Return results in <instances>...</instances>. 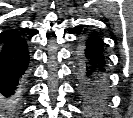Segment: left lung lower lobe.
<instances>
[{"label":"left lung lower lobe","instance_id":"1","mask_svg":"<svg viewBox=\"0 0 133 118\" xmlns=\"http://www.w3.org/2000/svg\"><path fill=\"white\" fill-rule=\"evenodd\" d=\"M80 57L82 59L81 87L109 98L107 57L103 43L96 34H90L86 40L80 41Z\"/></svg>","mask_w":133,"mask_h":118}]
</instances>
